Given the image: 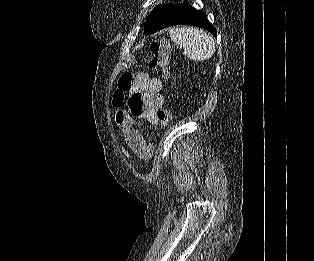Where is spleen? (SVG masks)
<instances>
[{"label":"spleen","instance_id":"spleen-1","mask_svg":"<svg viewBox=\"0 0 314 261\" xmlns=\"http://www.w3.org/2000/svg\"><path fill=\"white\" fill-rule=\"evenodd\" d=\"M171 40L184 50V54L193 61H205L215 52V41L207 32L192 28L181 27L169 30Z\"/></svg>","mask_w":314,"mask_h":261}]
</instances>
